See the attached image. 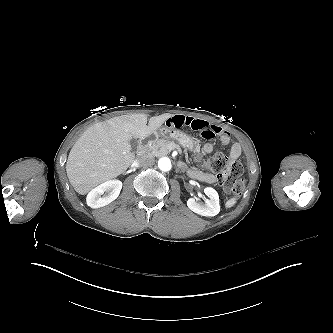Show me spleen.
Masks as SVG:
<instances>
[{
	"instance_id": "3e777b00",
	"label": "spleen",
	"mask_w": 333,
	"mask_h": 333,
	"mask_svg": "<svg viewBox=\"0 0 333 333\" xmlns=\"http://www.w3.org/2000/svg\"><path fill=\"white\" fill-rule=\"evenodd\" d=\"M238 199H239V195L238 194H234V195L230 196L229 198H227L225 200V202H224V208L228 210V209L234 207L237 204Z\"/></svg>"
}]
</instances>
